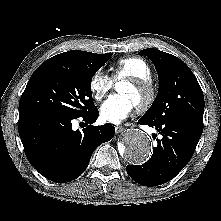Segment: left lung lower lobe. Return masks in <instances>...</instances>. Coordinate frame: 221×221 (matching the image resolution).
I'll use <instances>...</instances> for the list:
<instances>
[{"label": "left lung lower lobe", "mask_w": 221, "mask_h": 221, "mask_svg": "<svg viewBox=\"0 0 221 221\" xmlns=\"http://www.w3.org/2000/svg\"><path fill=\"white\" fill-rule=\"evenodd\" d=\"M139 124L155 127L163 136L157 139L151 158L142 165H127V173L143 186H157L175 177L192 158L203 127L175 117L152 124L141 118Z\"/></svg>", "instance_id": "0a47b994"}]
</instances>
